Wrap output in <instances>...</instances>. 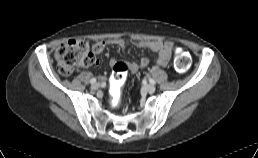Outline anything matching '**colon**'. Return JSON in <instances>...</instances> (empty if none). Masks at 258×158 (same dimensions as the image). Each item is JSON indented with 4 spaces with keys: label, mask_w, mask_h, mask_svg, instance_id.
Masks as SVG:
<instances>
[{
    "label": "colon",
    "mask_w": 258,
    "mask_h": 158,
    "mask_svg": "<svg viewBox=\"0 0 258 158\" xmlns=\"http://www.w3.org/2000/svg\"><path fill=\"white\" fill-rule=\"evenodd\" d=\"M58 70L63 75H70L77 66H92L96 63L94 53L86 41L72 39L62 43L55 52ZM191 64L189 51L182 45H176L174 50V68L177 72H185ZM129 66L126 62H116L113 65L111 79L112 102L118 107L121 101L122 89L126 82Z\"/></svg>",
    "instance_id": "5ec220e1"
}]
</instances>
